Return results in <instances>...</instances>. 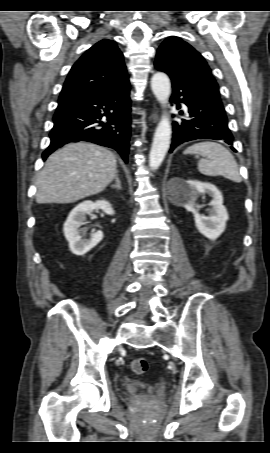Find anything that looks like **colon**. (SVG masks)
I'll return each mask as SVG.
<instances>
[{"instance_id":"obj_1","label":"colon","mask_w":270,"mask_h":453,"mask_svg":"<svg viewBox=\"0 0 270 453\" xmlns=\"http://www.w3.org/2000/svg\"><path fill=\"white\" fill-rule=\"evenodd\" d=\"M131 368L136 374H144L148 370V362L143 357H137L132 360Z\"/></svg>"}]
</instances>
